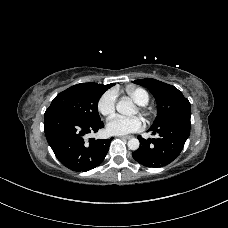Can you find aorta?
Here are the masks:
<instances>
[{"mask_svg":"<svg viewBox=\"0 0 228 228\" xmlns=\"http://www.w3.org/2000/svg\"><path fill=\"white\" fill-rule=\"evenodd\" d=\"M116 109L120 114L127 115V116H131L135 113L134 104L128 98H124L120 100L116 105ZM139 145H140V142L137 138H132L128 141V148L130 150H133V151L137 150L139 148Z\"/></svg>","mask_w":228,"mask_h":228,"instance_id":"obj_1","label":"aorta"}]
</instances>
